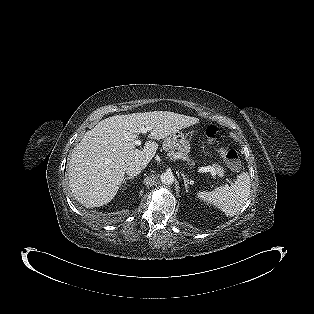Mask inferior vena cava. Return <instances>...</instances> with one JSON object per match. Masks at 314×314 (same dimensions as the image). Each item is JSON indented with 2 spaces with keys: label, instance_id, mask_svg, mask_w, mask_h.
<instances>
[{
  "label": "inferior vena cava",
  "instance_id": "inferior-vena-cava-1",
  "mask_svg": "<svg viewBox=\"0 0 314 314\" xmlns=\"http://www.w3.org/2000/svg\"><path fill=\"white\" fill-rule=\"evenodd\" d=\"M145 168V166H143L142 164H138V163H132L130 164L128 167H126L125 169V173L130 176V177H134L137 176L138 174H140V172Z\"/></svg>",
  "mask_w": 314,
  "mask_h": 314
}]
</instances>
